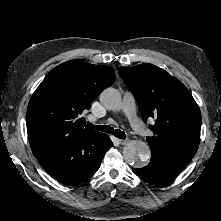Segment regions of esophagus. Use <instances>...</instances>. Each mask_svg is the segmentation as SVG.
I'll list each match as a JSON object with an SVG mask.
<instances>
[{
  "mask_svg": "<svg viewBox=\"0 0 221 221\" xmlns=\"http://www.w3.org/2000/svg\"><path fill=\"white\" fill-rule=\"evenodd\" d=\"M118 142L120 145H125V144H127L128 140L127 139H118Z\"/></svg>",
  "mask_w": 221,
  "mask_h": 221,
  "instance_id": "obj_1",
  "label": "esophagus"
}]
</instances>
